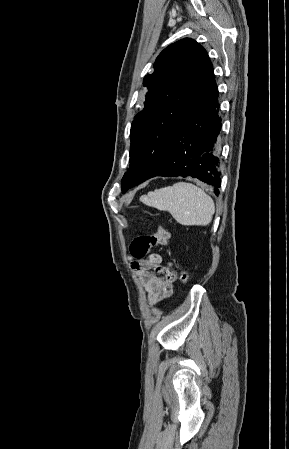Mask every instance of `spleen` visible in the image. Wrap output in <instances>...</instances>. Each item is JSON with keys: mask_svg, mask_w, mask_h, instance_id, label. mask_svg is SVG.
<instances>
[{"mask_svg": "<svg viewBox=\"0 0 289 449\" xmlns=\"http://www.w3.org/2000/svg\"><path fill=\"white\" fill-rule=\"evenodd\" d=\"M140 200L147 206L168 211L185 226H207L215 213L212 198L199 187L186 182L156 189Z\"/></svg>", "mask_w": 289, "mask_h": 449, "instance_id": "1", "label": "spleen"}]
</instances>
